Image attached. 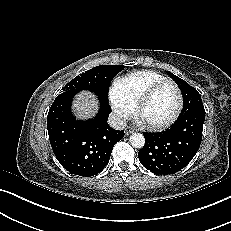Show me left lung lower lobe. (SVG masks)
<instances>
[{
    "label": "left lung lower lobe",
    "mask_w": 231,
    "mask_h": 231,
    "mask_svg": "<svg viewBox=\"0 0 231 231\" xmlns=\"http://www.w3.org/2000/svg\"><path fill=\"white\" fill-rule=\"evenodd\" d=\"M204 120V108L197 107L181 115L175 132L144 133L145 145L138 153L139 161L157 175L180 171L200 147Z\"/></svg>",
    "instance_id": "obj_1"
}]
</instances>
